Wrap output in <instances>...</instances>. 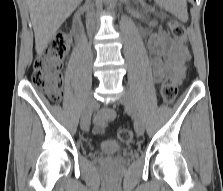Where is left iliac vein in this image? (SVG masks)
I'll use <instances>...</instances> for the list:
<instances>
[{
  "instance_id": "4c4485c4",
  "label": "left iliac vein",
  "mask_w": 223,
  "mask_h": 191,
  "mask_svg": "<svg viewBox=\"0 0 223 191\" xmlns=\"http://www.w3.org/2000/svg\"><path fill=\"white\" fill-rule=\"evenodd\" d=\"M120 103L126 108V110L132 115L134 119V128L138 136H142L144 133V123L139 112L136 109L134 99L128 90H125L120 98Z\"/></svg>"
}]
</instances>
